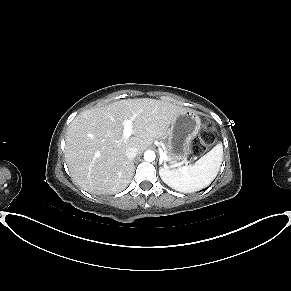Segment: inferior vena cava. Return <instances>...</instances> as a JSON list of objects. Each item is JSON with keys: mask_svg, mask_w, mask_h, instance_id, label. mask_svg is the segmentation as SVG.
<instances>
[{"mask_svg": "<svg viewBox=\"0 0 291 291\" xmlns=\"http://www.w3.org/2000/svg\"><path fill=\"white\" fill-rule=\"evenodd\" d=\"M138 153V149L135 147L128 148L125 152L126 157L129 160H133Z\"/></svg>", "mask_w": 291, "mask_h": 291, "instance_id": "1", "label": "inferior vena cava"}]
</instances>
